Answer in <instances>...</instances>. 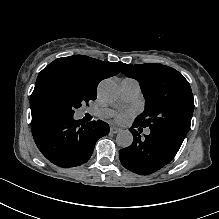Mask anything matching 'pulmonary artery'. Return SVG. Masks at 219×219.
Returning <instances> with one entry per match:
<instances>
[{"mask_svg":"<svg viewBox=\"0 0 219 219\" xmlns=\"http://www.w3.org/2000/svg\"><path fill=\"white\" fill-rule=\"evenodd\" d=\"M120 91L121 98L125 102H131L137 99L140 94V85L135 79L125 78L120 83ZM89 113L99 117V118H107L112 115V111L109 109H105L101 112L95 113L92 111H88ZM150 131L147 130L146 134H149Z\"/></svg>","mask_w":219,"mask_h":219,"instance_id":"pulmonary-artery-1","label":"pulmonary artery"}]
</instances>
